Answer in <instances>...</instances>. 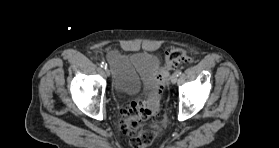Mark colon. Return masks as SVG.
Instances as JSON below:
<instances>
[{
	"label": "colon",
	"mask_w": 279,
	"mask_h": 148,
	"mask_svg": "<svg viewBox=\"0 0 279 148\" xmlns=\"http://www.w3.org/2000/svg\"><path fill=\"white\" fill-rule=\"evenodd\" d=\"M190 61L188 53L179 47L165 52V64L157 75L150 97L143 102H132L122 112V130L130 136L133 148H148L162 134V122L156 119L160 109V96L169 73L181 63Z\"/></svg>",
	"instance_id": "colon-1"
}]
</instances>
